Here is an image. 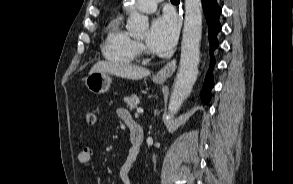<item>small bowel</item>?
I'll use <instances>...</instances> for the list:
<instances>
[{
    "label": "small bowel",
    "instance_id": "obj_1",
    "mask_svg": "<svg viewBox=\"0 0 293 184\" xmlns=\"http://www.w3.org/2000/svg\"><path fill=\"white\" fill-rule=\"evenodd\" d=\"M117 114L125 123H127V121L132 119L129 111L124 108L118 109ZM137 156H138V152H135L132 149V147H130L127 157L119 170V179L121 184H133L129 176V172ZM92 157H93L92 148L89 146H86L79 152L77 156V162L79 165H85L91 162Z\"/></svg>",
    "mask_w": 293,
    "mask_h": 184
}]
</instances>
